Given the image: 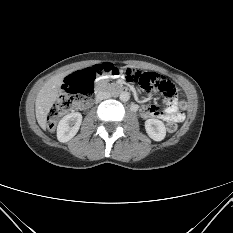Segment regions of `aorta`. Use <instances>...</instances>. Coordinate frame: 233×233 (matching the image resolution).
I'll return each instance as SVG.
<instances>
[{
  "label": "aorta",
  "mask_w": 233,
  "mask_h": 233,
  "mask_svg": "<svg viewBox=\"0 0 233 233\" xmlns=\"http://www.w3.org/2000/svg\"><path fill=\"white\" fill-rule=\"evenodd\" d=\"M119 98L121 101L126 102L130 99V94L128 92L124 91L120 94Z\"/></svg>",
  "instance_id": "obj_1"
}]
</instances>
